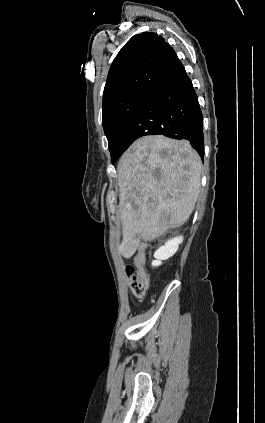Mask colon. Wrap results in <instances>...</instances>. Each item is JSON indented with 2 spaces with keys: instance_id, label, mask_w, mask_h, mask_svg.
<instances>
[{
  "instance_id": "5ec220e1",
  "label": "colon",
  "mask_w": 265,
  "mask_h": 423,
  "mask_svg": "<svg viewBox=\"0 0 265 423\" xmlns=\"http://www.w3.org/2000/svg\"><path fill=\"white\" fill-rule=\"evenodd\" d=\"M125 272L129 279L131 292L137 297H142L148 288V276L143 269L142 262L138 260L127 264Z\"/></svg>"
}]
</instances>
